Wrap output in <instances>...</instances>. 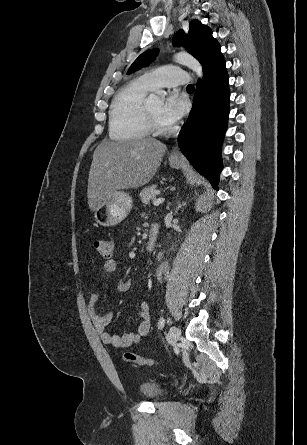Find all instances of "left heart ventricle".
<instances>
[{
    "label": "left heart ventricle",
    "instance_id": "1",
    "mask_svg": "<svg viewBox=\"0 0 307 445\" xmlns=\"http://www.w3.org/2000/svg\"><path fill=\"white\" fill-rule=\"evenodd\" d=\"M149 105H150V109L154 115V117L156 118V120L162 125V126H170L168 124H166L162 117H161V111H162V106H163V98L160 97H155L152 98L149 101Z\"/></svg>",
    "mask_w": 307,
    "mask_h": 445
}]
</instances>
